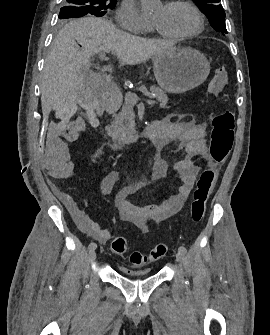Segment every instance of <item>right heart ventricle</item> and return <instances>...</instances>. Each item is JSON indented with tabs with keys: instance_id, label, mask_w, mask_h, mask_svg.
I'll return each mask as SVG.
<instances>
[{
	"instance_id": "e07e8e85",
	"label": "right heart ventricle",
	"mask_w": 270,
	"mask_h": 335,
	"mask_svg": "<svg viewBox=\"0 0 270 335\" xmlns=\"http://www.w3.org/2000/svg\"><path fill=\"white\" fill-rule=\"evenodd\" d=\"M160 78H172V77H160Z\"/></svg>"
}]
</instances>
